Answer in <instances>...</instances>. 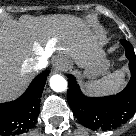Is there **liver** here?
<instances>
[{"label": "liver", "mask_w": 136, "mask_h": 136, "mask_svg": "<svg viewBox=\"0 0 136 136\" xmlns=\"http://www.w3.org/2000/svg\"><path fill=\"white\" fill-rule=\"evenodd\" d=\"M105 43L98 31L74 16L24 15L18 22L0 23V101L22 91L38 57H50L58 50L82 66L98 51L103 53Z\"/></svg>", "instance_id": "6515ba94"}]
</instances>
